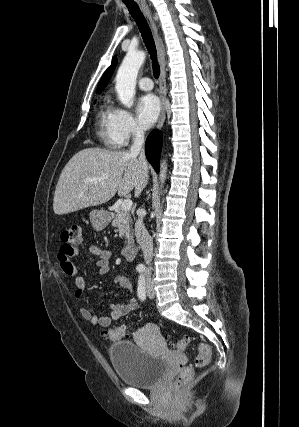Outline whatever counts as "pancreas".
Returning <instances> with one entry per match:
<instances>
[{"label": "pancreas", "instance_id": "obj_1", "mask_svg": "<svg viewBox=\"0 0 299 427\" xmlns=\"http://www.w3.org/2000/svg\"><path fill=\"white\" fill-rule=\"evenodd\" d=\"M112 226L118 228L119 236L121 238L125 237L128 241L133 240L132 220L128 210H124L119 206L116 209Z\"/></svg>", "mask_w": 299, "mask_h": 427}]
</instances>
